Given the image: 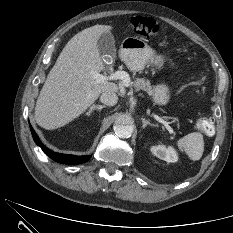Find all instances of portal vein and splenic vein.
<instances>
[{
	"label": "portal vein and splenic vein",
	"mask_w": 233,
	"mask_h": 233,
	"mask_svg": "<svg viewBox=\"0 0 233 233\" xmlns=\"http://www.w3.org/2000/svg\"><path fill=\"white\" fill-rule=\"evenodd\" d=\"M91 75L94 77V79L96 80L97 83H102V82L112 81V80H121L122 85L128 86V84L130 82V77H129L128 73L125 71L118 70V71H116L108 76L92 71ZM154 118L158 122L163 124L166 127V129L169 131L170 134H175V132L170 127V125L167 121H165L164 119H162L158 115H154Z\"/></svg>",
	"instance_id": "18ae733b"
}]
</instances>
